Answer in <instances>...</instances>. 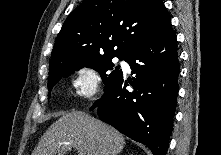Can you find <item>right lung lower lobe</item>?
<instances>
[{
  "label": "right lung lower lobe",
  "instance_id": "obj_1",
  "mask_svg": "<svg viewBox=\"0 0 221 155\" xmlns=\"http://www.w3.org/2000/svg\"><path fill=\"white\" fill-rule=\"evenodd\" d=\"M125 61L136 74L133 83L121 73L91 110L98 106L102 121L146 145L153 155H166L180 71L171 23L143 37ZM128 83L133 92L126 89Z\"/></svg>",
  "mask_w": 221,
  "mask_h": 155
}]
</instances>
